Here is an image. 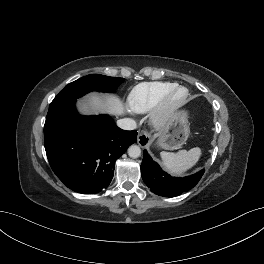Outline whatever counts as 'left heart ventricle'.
Returning a JSON list of instances; mask_svg holds the SVG:
<instances>
[{"label":"left heart ventricle","mask_w":264,"mask_h":264,"mask_svg":"<svg viewBox=\"0 0 264 264\" xmlns=\"http://www.w3.org/2000/svg\"><path fill=\"white\" fill-rule=\"evenodd\" d=\"M184 96V91H179L177 92V94L175 95V100H179Z\"/></svg>","instance_id":"b2bd125f"}]
</instances>
